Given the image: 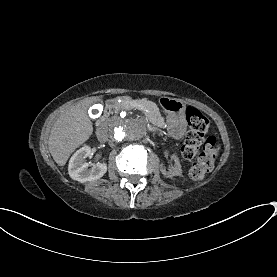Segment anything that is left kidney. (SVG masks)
Listing matches in <instances>:
<instances>
[{
    "instance_id": "5707ae66",
    "label": "left kidney",
    "mask_w": 277,
    "mask_h": 277,
    "mask_svg": "<svg viewBox=\"0 0 277 277\" xmlns=\"http://www.w3.org/2000/svg\"><path fill=\"white\" fill-rule=\"evenodd\" d=\"M175 161V166L172 170L166 171L163 167H161V172L165 177L172 178L173 176H180L182 174L181 164L179 159L176 156H173Z\"/></svg>"
}]
</instances>
